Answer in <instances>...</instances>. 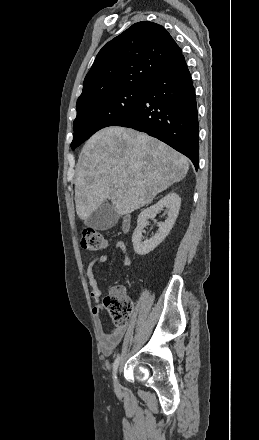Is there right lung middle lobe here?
<instances>
[{"label":"right lung middle lobe","mask_w":259,"mask_h":440,"mask_svg":"<svg viewBox=\"0 0 259 440\" xmlns=\"http://www.w3.org/2000/svg\"><path fill=\"white\" fill-rule=\"evenodd\" d=\"M147 88H127L109 93L77 108L74 120V150L98 130L114 125L141 101Z\"/></svg>","instance_id":"dd1d6c3e"}]
</instances>
